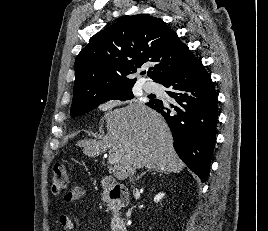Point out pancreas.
I'll use <instances>...</instances> for the list:
<instances>
[{"label": "pancreas", "mask_w": 268, "mask_h": 231, "mask_svg": "<svg viewBox=\"0 0 268 231\" xmlns=\"http://www.w3.org/2000/svg\"><path fill=\"white\" fill-rule=\"evenodd\" d=\"M109 210H110V206L108 205L107 211H109Z\"/></svg>", "instance_id": "cf45deb5"}]
</instances>
